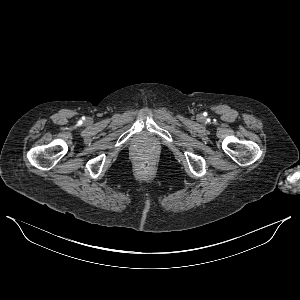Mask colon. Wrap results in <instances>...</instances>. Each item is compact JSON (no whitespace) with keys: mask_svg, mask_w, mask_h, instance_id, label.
<instances>
[{"mask_svg":"<svg viewBox=\"0 0 300 300\" xmlns=\"http://www.w3.org/2000/svg\"><path fill=\"white\" fill-rule=\"evenodd\" d=\"M150 165H151V164H150V162H148V161H144V162L142 163V167L145 168V169L149 168Z\"/></svg>","mask_w":300,"mask_h":300,"instance_id":"colon-1","label":"colon"}]
</instances>
